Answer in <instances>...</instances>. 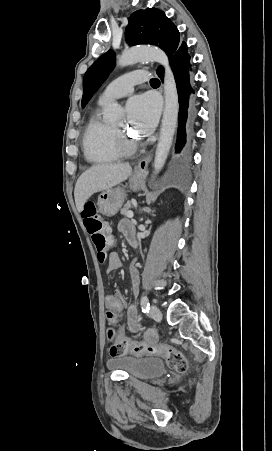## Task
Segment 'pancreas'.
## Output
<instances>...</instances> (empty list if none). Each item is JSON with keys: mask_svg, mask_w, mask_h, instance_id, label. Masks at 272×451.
<instances>
[{"mask_svg": "<svg viewBox=\"0 0 272 451\" xmlns=\"http://www.w3.org/2000/svg\"><path fill=\"white\" fill-rule=\"evenodd\" d=\"M130 208H132L131 202H127V204H124L120 214H123V216H127V212L128 210H130Z\"/></svg>", "mask_w": 272, "mask_h": 451, "instance_id": "obj_1", "label": "pancreas"}]
</instances>
